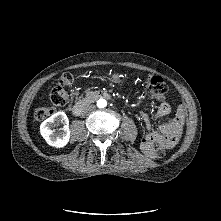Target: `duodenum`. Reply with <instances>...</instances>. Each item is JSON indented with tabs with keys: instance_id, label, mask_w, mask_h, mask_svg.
<instances>
[{
	"instance_id": "duodenum-1",
	"label": "duodenum",
	"mask_w": 221,
	"mask_h": 221,
	"mask_svg": "<svg viewBox=\"0 0 221 221\" xmlns=\"http://www.w3.org/2000/svg\"><path fill=\"white\" fill-rule=\"evenodd\" d=\"M100 98L111 99V95L103 91H95L90 93L88 96H86L85 98L76 102L73 105L72 107L73 115L75 116L80 115L88 105H90L92 102Z\"/></svg>"
}]
</instances>
